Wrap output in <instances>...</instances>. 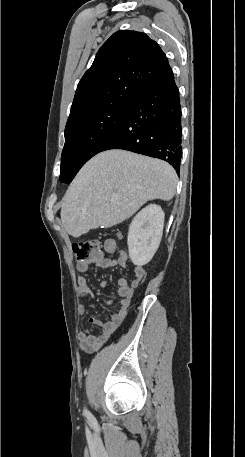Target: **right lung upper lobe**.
<instances>
[{"instance_id":"1","label":"right lung upper lobe","mask_w":245,"mask_h":457,"mask_svg":"<svg viewBox=\"0 0 245 457\" xmlns=\"http://www.w3.org/2000/svg\"><path fill=\"white\" fill-rule=\"evenodd\" d=\"M171 76L168 59L155 41L141 32L120 30L102 45L80 80L68 120L114 101L133 102Z\"/></svg>"}]
</instances>
